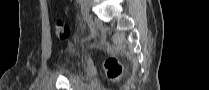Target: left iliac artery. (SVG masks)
<instances>
[{"instance_id":"44dca946","label":"left iliac artery","mask_w":209,"mask_h":90,"mask_svg":"<svg viewBox=\"0 0 209 90\" xmlns=\"http://www.w3.org/2000/svg\"><path fill=\"white\" fill-rule=\"evenodd\" d=\"M77 2H78V3H81V2H82V0H78Z\"/></svg>"}]
</instances>
